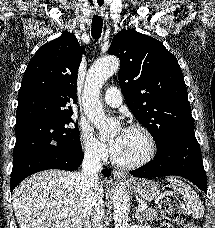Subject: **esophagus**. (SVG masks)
<instances>
[{"mask_svg":"<svg viewBox=\"0 0 215 228\" xmlns=\"http://www.w3.org/2000/svg\"><path fill=\"white\" fill-rule=\"evenodd\" d=\"M113 176H114V178H120L123 176V173L120 171H114Z\"/></svg>","mask_w":215,"mask_h":228,"instance_id":"34e87169","label":"esophagus"}]
</instances>
